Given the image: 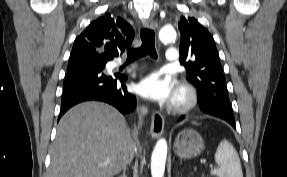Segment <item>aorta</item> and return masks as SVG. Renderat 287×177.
I'll return each instance as SVG.
<instances>
[{
  "mask_svg": "<svg viewBox=\"0 0 287 177\" xmlns=\"http://www.w3.org/2000/svg\"><path fill=\"white\" fill-rule=\"evenodd\" d=\"M176 38V31L172 27H164L159 32V39L164 42H171ZM167 158V141L159 139L155 145L151 157L152 177H163Z\"/></svg>",
  "mask_w": 287,
  "mask_h": 177,
  "instance_id": "obj_1",
  "label": "aorta"
}]
</instances>
